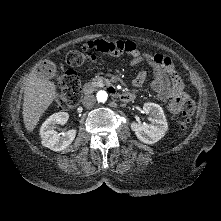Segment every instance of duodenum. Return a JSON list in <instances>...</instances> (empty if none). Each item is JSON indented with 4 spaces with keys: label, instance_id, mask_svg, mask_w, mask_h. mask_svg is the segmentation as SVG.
I'll use <instances>...</instances> for the list:
<instances>
[{
    "label": "duodenum",
    "instance_id": "duodenum-1",
    "mask_svg": "<svg viewBox=\"0 0 221 221\" xmlns=\"http://www.w3.org/2000/svg\"><path fill=\"white\" fill-rule=\"evenodd\" d=\"M93 91V86L91 84H86L84 87V95L87 96ZM109 92L117 96L122 102L128 103L134 100L135 95L131 92L118 93L114 88L110 87Z\"/></svg>",
    "mask_w": 221,
    "mask_h": 221
}]
</instances>
